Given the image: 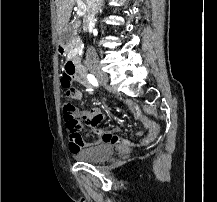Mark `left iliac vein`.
I'll use <instances>...</instances> for the list:
<instances>
[{"mask_svg": "<svg viewBox=\"0 0 217 202\" xmlns=\"http://www.w3.org/2000/svg\"><path fill=\"white\" fill-rule=\"evenodd\" d=\"M100 83H101L102 85L105 84V83H103V82H100Z\"/></svg>", "mask_w": 217, "mask_h": 202, "instance_id": "obj_1", "label": "left iliac vein"}]
</instances>
